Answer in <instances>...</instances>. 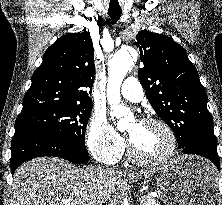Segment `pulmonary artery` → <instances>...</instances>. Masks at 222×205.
<instances>
[{
	"label": "pulmonary artery",
	"instance_id": "1",
	"mask_svg": "<svg viewBox=\"0 0 222 205\" xmlns=\"http://www.w3.org/2000/svg\"><path fill=\"white\" fill-rule=\"evenodd\" d=\"M120 92L125 99L131 102H139L143 98V89L134 77H128L124 80Z\"/></svg>",
	"mask_w": 222,
	"mask_h": 205
}]
</instances>
